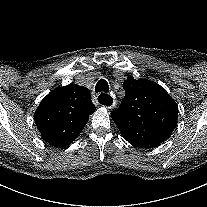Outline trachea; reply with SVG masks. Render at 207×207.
<instances>
[{
  "label": "trachea",
  "instance_id": "trachea-1",
  "mask_svg": "<svg viewBox=\"0 0 207 207\" xmlns=\"http://www.w3.org/2000/svg\"><path fill=\"white\" fill-rule=\"evenodd\" d=\"M95 91L96 92H100V91L108 92L109 91V86H108L107 81L104 80V79H101L100 81H98V83L96 84V87H95ZM98 101L102 105L109 106V105L112 104L113 99L109 95H106L105 93H102L98 97Z\"/></svg>",
  "mask_w": 207,
  "mask_h": 207
}]
</instances>
